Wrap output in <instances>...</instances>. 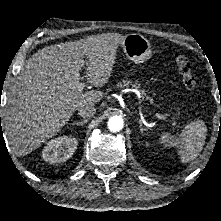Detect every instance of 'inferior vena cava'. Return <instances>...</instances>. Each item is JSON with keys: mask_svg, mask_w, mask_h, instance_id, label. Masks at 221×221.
Here are the masks:
<instances>
[{"mask_svg": "<svg viewBox=\"0 0 221 221\" xmlns=\"http://www.w3.org/2000/svg\"><path fill=\"white\" fill-rule=\"evenodd\" d=\"M96 113V107L94 103H86L78 108L79 116L88 119Z\"/></svg>", "mask_w": 221, "mask_h": 221, "instance_id": "1", "label": "inferior vena cava"}]
</instances>
